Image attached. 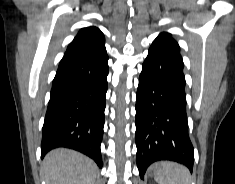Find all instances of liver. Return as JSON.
<instances>
[{"label":"liver","instance_id":"1","mask_svg":"<svg viewBox=\"0 0 235 184\" xmlns=\"http://www.w3.org/2000/svg\"><path fill=\"white\" fill-rule=\"evenodd\" d=\"M97 166L79 152L57 148L45 156L40 178L46 184H95Z\"/></svg>","mask_w":235,"mask_h":184}]
</instances>
